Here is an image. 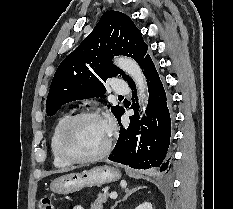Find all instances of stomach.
I'll return each instance as SVG.
<instances>
[{"label":"stomach","mask_w":233,"mask_h":209,"mask_svg":"<svg viewBox=\"0 0 233 209\" xmlns=\"http://www.w3.org/2000/svg\"><path fill=\"white\" fill-rule=\"evenodd\" d=\"M121 178V172L111 166H98L80 173H68L52 181L50 189L57 194H70L85 187L102 186Z\"/></svg>","instance_id":"1"}]
</instances>
